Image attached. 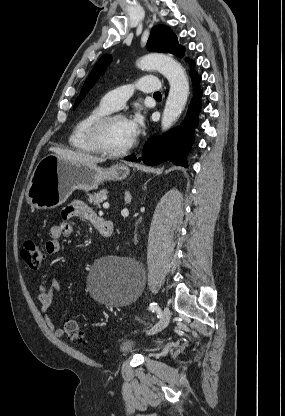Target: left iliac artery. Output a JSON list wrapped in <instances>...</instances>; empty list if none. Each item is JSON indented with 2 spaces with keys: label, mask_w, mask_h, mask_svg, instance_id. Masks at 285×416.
<instances>
[{
  "label": "left iliac artery",
  "mask_w": 285,
  "mask_h": 416,
  "mask_svg": "<svg viewBox=\"0 0 285 416\" xmlns=\"http://www.w3.org/2000/svg\"><path fill=\"white\" fill-rule=\"evenodd\" d=\"M149 310L154 312V311H158L159 310V306L156 302H152L149 305Z\"/></svg>",
  "instance_id": "1"
}]
</instances>
